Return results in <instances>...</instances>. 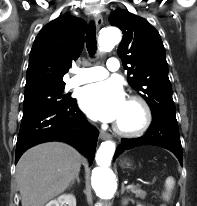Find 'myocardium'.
<instances>
[{
    "instance_id": "f54148a6",
    "label": "myocardium",
    "mask_w": 197,
    "mask_h": 206,
    "mask_svg": "<svg viewBox=\"0 0 197 206\" xmlns=\"http://www.w3.org/2000/svg\"><path fill=\"white\" fill-rule=\"evenodd\" d=\"M128 102L135 104L139 108L141 112V121L139 125H137L134 128H126L120 125L119 123H116L114 125V130L116 133L122 136H127V137L140 136L146 132V130L149 128L152 122V112L150 106L143 97L138 95L129 96Z\"/></svg>"
}]
</instances>
